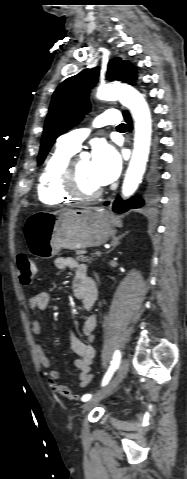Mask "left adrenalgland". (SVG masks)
Returning a JSON list of instances; mask_svg holds the SVG:
<instances>
[{
    "label": "left adrenal gland",
    "instance_id": "left-adrenal-gland-1",
    "mask_svg": "<svg viewBox=\"0 0 187 479\" xmlns=\"http://www.w3.org/2000/svg\"><path fill=\"white\" fill-rule=\"evenodd\" d=\"M125 235H126V233H125V234H122V235H120V236H113V237H112V242H111L112 248L108 251V253L111 252V251H113V250L118 246L120 240H121Z\"/></svg>",
    "mask_w": 187,
    "mask_h": 479
}]
</instances>
